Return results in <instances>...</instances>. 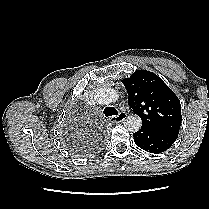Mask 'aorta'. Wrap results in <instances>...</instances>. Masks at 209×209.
Returning a JSON list of instances; mask_svg holds the SVG:
<instances>
[{
	"instance_id": "762f6f07",
	"label": "aorta",
	"mask_w": 209,
	"mask_h": 209,
	"mask_svg": "<svg viewBox=\"0 0 209 209\" xmlns=\"http://www.w3.org/2000/svg\"><path fill=\"white\" fill-rule=\"evenodd\" d=\"M119 97L118 92L113 88H100L95 93V100L99 104H110ZM124 126L131 132H137L142 126L141 118L132 114L126 117L124 120Z\"/></svg>"
}]
</instances>
